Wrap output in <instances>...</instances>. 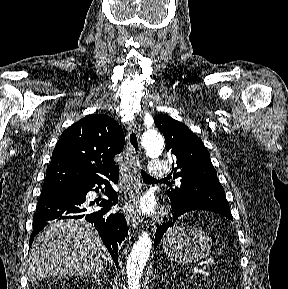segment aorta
Here are the masks:
<instances>
[{
  "instance_id": "obj_1",
  "label": "aorta",
  "mask_w": 288,
  "mask_h": 289,
  "mask_svg": "<svg viewBox=\"0 0 288 289\" xmlns=\"http://www.w3.org/2000/svg\"><path fill=\"white\" fill-rule=\"evenodd\" d=\"M142 143L149 157L161 154L164 147L163 137L154 129L148 130ZM152 240L148 232H142L135 241L127 259L126 273L128 289H140V278L149 258Z\"/></svg>"
}]
</instances>
